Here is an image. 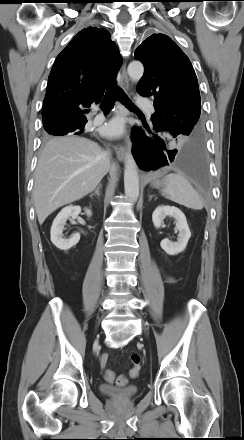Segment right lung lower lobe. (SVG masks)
Instances as JSON below:
<instances>
[{"label": "right lung lower lobe", "instance_id": "98d812e1", "mask_svg": "<svg viewBox=\"0 0 244 440\" xmlns=\"http://www.w3.org/2000/svg\"><path fill=\"white\" fill-rule=\"evenodd\" d=\"M86 123L84 124H75V123H70V124H66V129L67 132H74L75 134H81L84 130V126Z\"/></svg>", "mask_w": 244, "mask_h": 440}]
</instances>
